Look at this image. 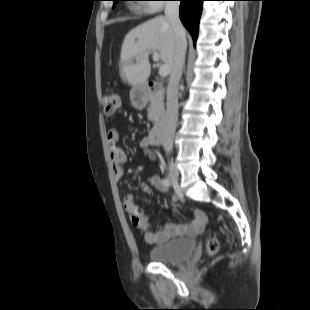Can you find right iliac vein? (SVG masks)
<instances>
[{
    "label": "right iliac vein",
    "mask_w": 310,
    "mask_h": 310,
    "mask_svg": "<svg viewBox=\"0 0 310 310\" xmlns=\"http://www.w3.org/2000/svg\"><path fill=\"white\" fill-rule=\"evenodd\" d=\"M168 169H169L170 180L177 183L179 180V171H178V168L176 167V164L172 161H169Z\"/></svg>",
    "instance_id": "right-iliac-vein-1"
}]
</instances>
